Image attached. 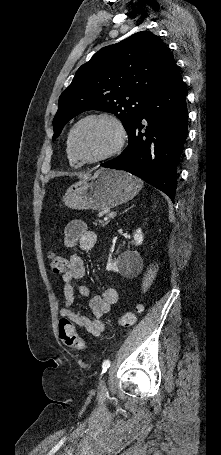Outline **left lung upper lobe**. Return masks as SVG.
I'll list each match as a JSON object with an SVG mask.
<instances>
[{"label":"left lung upper lobe","instance_id":"5c2ea615","mask_svg":"<svg viewBox=\"0 0 221 455\" xmlns=\"http://www.w3.org/2000/svg\"><path fill=\"white\" fill-rule=\"evenodd\" d=\"M174 65L172 53L149 31L100 49L60 95L53 139L70 119L87 110L115 114L129 134L148 97Z\"/></svg>","mask_w":221,"mask_h":455}]
</instances>
